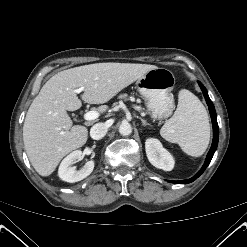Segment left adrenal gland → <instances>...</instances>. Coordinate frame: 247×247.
Wrapping results in <instances>:
<instances>
[{"mask_svg":"<svg viewBox=\"0 0 247 247\" xmlns=\"http://www.w3.org/2000/svg\"><path fill=\"white\" fill-rule=\"evenodd\" d=\"M139 119L141 120V122H142V124H143L144 126H147V125L150 126V124H149L146 120H144V119H142V118H139Z\"/></svg>","mask_w":247,"mask_h":247,"instance_id":"left-adrenal-gland-1","label":"left adrenal gland"}]
</instances>
